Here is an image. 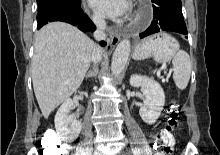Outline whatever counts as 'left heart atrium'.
Segmentation results:
<instances>
[{"mask_svg":"<svg viewBox=\"0 0 220 155\" xmlns=\"http://www.w3.org/2000/svg\"><path fill=\"white\" fill-rule=\"evenodd\" d=\"M90 4L96 11L112 18L123 17L131 9L129 0H90Z\"/></svg>","mask_w":220,"mask_h":155,"instance_id":"39dd6f15","label":"left heart atrium"}]
</instances>
